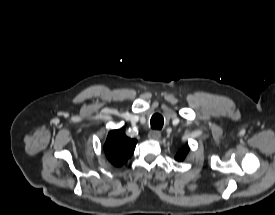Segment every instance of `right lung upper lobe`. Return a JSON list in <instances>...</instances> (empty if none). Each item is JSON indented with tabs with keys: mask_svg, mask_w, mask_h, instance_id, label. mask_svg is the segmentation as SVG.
<instances>
[{
	"mask_svg": "<svg viewBox=\"0 0 275 215\" xmlns=\"http://www.w3.org/2000/svg\"><path fill=\"white\" fill-rule=\"evenodd\" d=\"M136 143L135 139L128 138L122 130H112L104 145L106 157L113 165L121 166L132 156Z\"/></svg>",
	"mask_w": 275,
	"mask_h": 215,
	"instance_id": "1",
	"label": "right lung upper lobe"
}]
</instances>
